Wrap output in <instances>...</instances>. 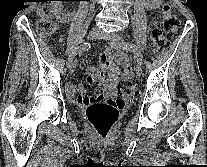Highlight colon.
Here are the masks:
<instances>
[{
  "instance_id": "5ec220e1",
  "label": "colon",
  "mask_w": 207,
  "mask_h": 167,
  "mask_svg": "<svg viewBox=\"0 0 207 167\" xmlns=\"http://www.w3.org/2000/svg\"><path fill=\"white\" fill-rule=\"evenodd\" d=\"M162 24L154 26L151 30V44L157 51H164L169 40L168 37L174 36L179 28V18L173 12L170 5L165 3L162 7ZM37 29L39 32L52 35L57 30V25L53 20L51 8L44 5L38 9ZM121 61L126 59L125 55L119 57ZM120 98L116 101L96 102L88 108L87 118L97 134L105 138L117 120L118 109L123 108L124 98H131L137 94V87L132 82H124L119 87Z\"/></svg>"
}]
</instances>
